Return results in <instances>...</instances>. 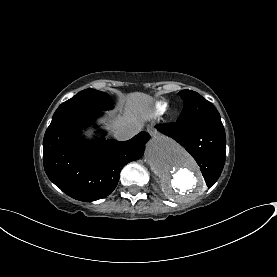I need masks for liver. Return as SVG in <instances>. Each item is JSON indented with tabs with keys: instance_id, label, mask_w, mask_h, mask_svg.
I'll return each instance as SVG.
<instances>
[{
	"instance_id": "1",
	"label": "liver",
	"mask_w": 277,
	"mask_h": 277,
	"mask_svg": "<svg viewBox=\"0 0 277 277\" xmlns=\"http://www.w3.org/2000/svg\"><path fill=\"white\" fill-rule=\"evenodd\" d=\"M150 102L151 98L148 95L143 93L130 94L126 103L125 115L115 123V127H112V130L127 125L139 124L142 126V122L147 119V110Z\"/></svg>"
}]
</instances>
